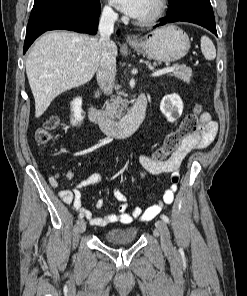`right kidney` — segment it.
<instances>
[{"label":"right kidney","instance_id":"ca27d5eb","mask_svg":"<svg viewBox=\"0 0 247 296\" xmlns=\"http://www.w3.org/2000/svg\"><path fill=\"white\" fill-rule=\"evenodd\" d=\"M81 106H82V98L80 97L75 98L71 103V111H72L71 123L73 125L80 124L84 119V117L82 116L83 110Z\"/></svg>","mask_w":247,"mask_h":296}]
</instances>
